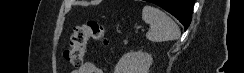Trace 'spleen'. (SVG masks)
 <instances>
[{
	"label": "spleen",
	"mask_w": 244,
	"mask_h": 73,
	"mask_svg": "<svg viewBox=\"0 0 244 73\" xmlns=\"http://www.w3.org/2000/svg\"><path fill=\"white\" fill-rule=\"evenodd\" d=\"M142 19L150 25L146 38L152 42L172 41L180 37L178 25L158 8L150 5L144 6Z\"/></svg>",
	"instance_id": "spleen-1"
}]
</instances>
